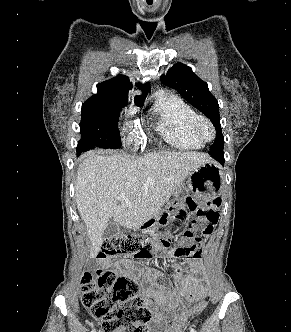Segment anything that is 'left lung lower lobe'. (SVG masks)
I'll list each match as a JSON object with an SVG mask.
<instances>
[{"label": "left lung lower lobe", "instance_id": "0a47b994", "mask_svg": "<svg viewBox=\"0 0 291 332\" xmlns=\"http://www.w3.org/2000/svg\"><path fill=\"white\" fill-rule=\"evenodd\" d=\"M211 156H213L216 160H218L222 165H224V154L223 152H217V153H209Z\"/></svg>", "mask_w": 291, "mask_h": 332}]
</instances>
